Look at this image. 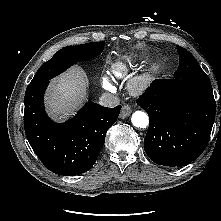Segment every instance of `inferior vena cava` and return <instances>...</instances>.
<instances>
[{
    "instance_id": "obj_1",
    "label": "inferior vena cava",
    "mask_w": 221,
    "mask_h": 221,
    "mask_svg": "<svg viewBox=\"0 0 221 221\" xmlns=\"http://www.w3.org/2000/svg\"><path fill=\"white\" fill-rule=\"evenodd\" d=\"M119 103H120V99L117 96L110 94V93L102 94V96L99 99V104L104 107L113 108L119 105Z\"/></svg>"
}]
</instances>
